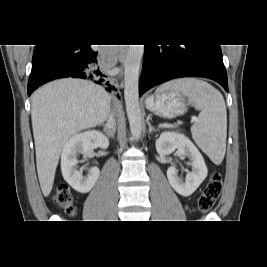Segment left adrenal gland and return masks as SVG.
<instances>
[{
  "label": "left adrenal gland",
  "mask_w": 267,
  "mask_h": 267,
  "mask_svg": "<svg viewBox=\"0 0 267 267\" xmlns=\"http://www.w3.org/2000/svg\"><path fill=\"white\" fill-rule=\"evenodd\" d=\"M149 120H150V115L147 117V120H146L148 127H149V133L158 131L154 126L151 125Z\"/></svg>",
  "instance_id": "a2214340"
}]
</instances>
